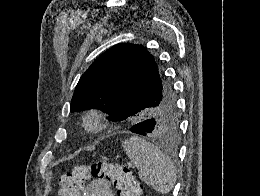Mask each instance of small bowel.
Masks as SVG:
<instances>
[{"label":"small bowel","mask_w":260,"mask_h":196,"mask_svg":"<svg viewBox=\"0 0 260 196\" xmlns=\"http://www.w3.org/2000/svg\"><path fill=\"white\" fill-rule=\"evenodd\" d=\"M85 196H114L110 183L106 179H94L85 188Z\"/></svg>","instance_id":"small-bowel-1"}]
</instances>
